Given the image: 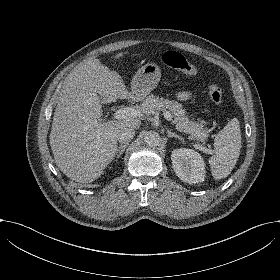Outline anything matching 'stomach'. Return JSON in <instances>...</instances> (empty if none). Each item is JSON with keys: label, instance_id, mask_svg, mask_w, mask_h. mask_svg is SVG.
Instances as JSON below:
<instances>
[{"label": "stomach", "instance_id": "stomach-1", "mask_svg": "<svg viewBox=\"0 0 280 280\" xmlns=\"http://www.w3.org/2000/svg\"><path fill=\"white\" fill-rule=\"evenodd\" d=\"M160 80V70L154 64H147L137 70L131 81V91L148 95Z\"/></svg>", "mask_w": 280, "mask_h": 280}]
</instances>
